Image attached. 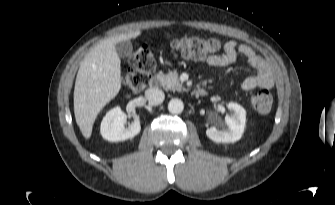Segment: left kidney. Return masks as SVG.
I'll list each match as a JSON object with an SVG mask.
<instances>
[{
  "mask_svg": "<svg viewBox=\"0 0 335 205\" xmlns=\"http://www.w3.org/2000/svg\"><path fill=\"white\" fill-rule=\"evenodd\" d=\"M227 107L232 111V114L225 117L228 130H219L215 127L208 128L206 135L215 142H236L238 141L244 131L245 127V110L237 103H229Z\"/></svg>",
  "mask_w": 335,
  "mask_h": 205,
  "instance_id": "1",
  "label": "left kidney"
}]
</instances>
